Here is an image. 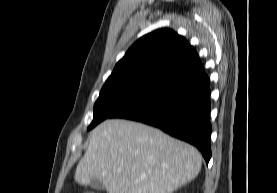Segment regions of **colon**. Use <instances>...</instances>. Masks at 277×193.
I'll list each match as a JSON object with an SVG mask.
<instances>
[{
    "label": "colon",
    "instance_id": "obj_1",
    "mask_svg": "<svg viewBox=\"0 0 277 193\" xmlns=\"http://www.w3.org/2000/svg\"><path fill=\"white\" fill-rule=\"evenodd\" d=\"M85 193H95V192H85Z\"/></svg>",
    "mask_w": 277,
    "mask_h": 193
}]
</instances>
